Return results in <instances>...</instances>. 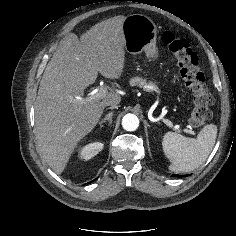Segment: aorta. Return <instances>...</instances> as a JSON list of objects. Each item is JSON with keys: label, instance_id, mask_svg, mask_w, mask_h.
<instances>
[{"label": "aorta", "instance_id": "obj_1", "mask_svg": "<svg viewBox=\"0 0 236 236\" xmlns=\"http://www.w3.org/2000/svg\"><path fill=\"white\" fill-rule=\"evenodd\" d=\"M122 126L126 131H135L139 126V119L136 115L128 113L122 119Z\"/></svg>", "mask_w": 236, "mask_h": 236}]
</instances>
